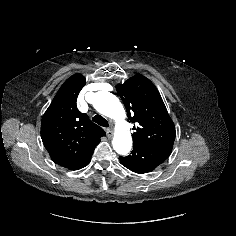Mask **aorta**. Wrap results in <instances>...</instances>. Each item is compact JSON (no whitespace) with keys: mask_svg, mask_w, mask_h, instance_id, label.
<instances>
[{"mask_svg":"<svg viewBox=\"0 0 236 236\" xmlns=\"http://www.w3.org/2000/svg\"><path fill=\"white\" fill-rule=\"evenodd\" d=\"M94 108L116 122V132L112 141L114 150L120 155H127L132 147L129 124L125 121L126 113L119 99L109 92H98L92 100Z\"/></svg>","mask_w":236,"mask_h":236,"instance_id":"1","label":"aorta"}]
</instances>
